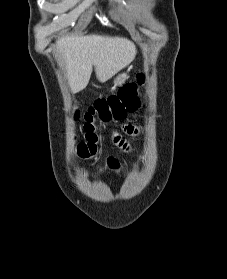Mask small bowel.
I'll return each mask as SVG.
<instances>
[{"mask_svg": "<svg viewBox=\"0 0 227 279\" xmlns=\"http://www.w3.org/2000/svg\"><path fill=\"white\" fill-rule=\"evenodd\" d=\"M117 168H118V162L116 160L107 159L105 164L103 166H101V168L99 170H100V172H106V171H110V170H115Z\"/></svg>", "mask_w": 227, "mask_h": 279, "instance_id": "obj_1", "label": "small bowel"}]
</instances>
